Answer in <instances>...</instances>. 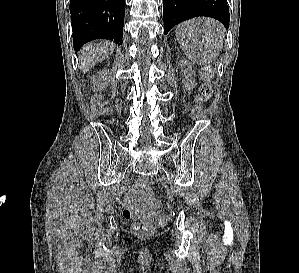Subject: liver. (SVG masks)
Returning a JSON list of instances; mask_svg holds the SVG:
<instances>
[{"label": "liver", "instance_id": "liver-1", "mask_svg": "<svg viewBox=\"0 0 299 273\" xmlns=\"http://www.w3.org/2000/svg\"><path fill=\"white\" fill-rule=\"evenodd\" d=\"M114 50V44L109 41L89 43L81 51V69L88 72L97 63L109 57Z\"/></svg>", "mask_w": 299, "mask_h": 273}]
</instances>
